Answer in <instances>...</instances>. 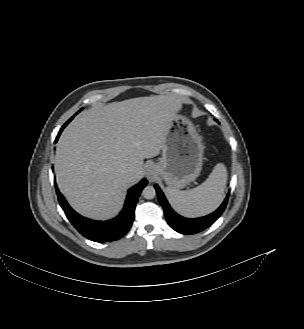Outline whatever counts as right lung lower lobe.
<instances>
[{
  "label": "right lung lower lobe",
  "instance_id": "obj_1",
  "mask_svg": "<svg viewBox=\"0 0 304 329\" xmlns=\"http://www.w3.org/2000/svg\"><path fill=\"white\" fill-rule=\"evenodd\" d=\"M65 126L64 124L61 128L56 137V141ZM146 185L147 180L144 178L138 184L130 188L123 210L116 218L109 221H94L80 216L69 206L63 195L59 192L57 186L56 191L60 206L64 210L67 218L84 237L95 242H108L118 240L129 231L134 219V211L138 197Z\"/></svg>",
  "mask_w": 304,
  "mask_h": 329
}]
</instances>
